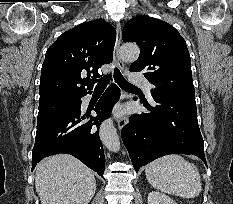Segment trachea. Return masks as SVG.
Masks as SVG:
<instances>
[{"mask_svg": "<svg viewBox=\"0 0 233 204\" xmlns=\"http://www.w3.org/2000/svg\"><path fill=\"white\" fill-rule=\"evenodd\" d=\"M110 78V75H107L103 78H101L96 85V90H103L105 89L107 82ZM114 79L117 82V84L124 90H130V89H137L136 86L130 84L129 82L126 81V79L123 77L119 69L115 68L114 69Z\"/></svg>", "mask_w": 233, "mask_h": 204, "instance_id": "3493384b", "label": "trachea"}]
</instances>
